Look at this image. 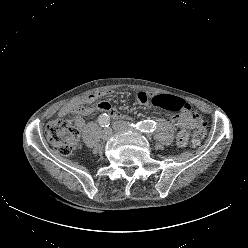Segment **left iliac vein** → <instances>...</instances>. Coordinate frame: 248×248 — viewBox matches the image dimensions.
Listing matches in <instances>:
<instances>
[{
    "label": "left iliac vein",
    "mask_w": 248,
    "mask_h": 248,
    "mask_svg": "<svg viewBox=\"0 0 248 248\" xmlns=\"http://www.w3.org/2000/svg\"><path fill=\"white\" fill-rule=\"evenodd\" d=\"M113 128L115 131H126V130H131L125 123L117 121L113 123Z\"/></svg>",
    "instance_id": "4c4485c4"
}]
</instances>
